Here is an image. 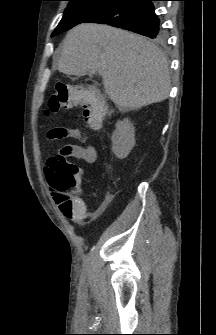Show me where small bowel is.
I'll return each mask as SVG.
<instances>
[{
	"mask_svg": "<svg viewBox=\"0 0 216 335\" xmlns=\"http://www.w3.org/2000/svg\"><path fill=\"white\" fill-rule=\"evenodd\" d=\"M48 138L51 140H78L80 143H71L65 145L70 148V156L80 159L86 163H94L97 161L98 152L96 147L89 142L88 138L78 128L56 127L48 132ZM50 169H52V167L47 164L45 168V175L48 181ZM51 191L56 198L57 193L53 189H51ZM78 195L79 196L75 198V201L80 203L81 207L78 211L71 212L68 217L76 223H81L88 218L97 219L99 216V210L93 213H89L81 190H78Z\"/></svg>",
	"mask_w": 216,
	"mask_h": 335,
	"instance_id": "c3829d8e",
	"label": "small bowel"
}]
</instances>
